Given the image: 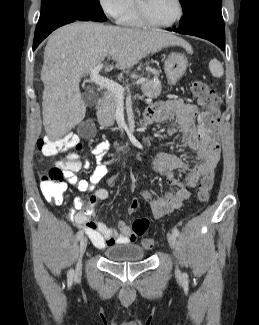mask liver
<instances>
[{
  "label": "liver",
  "mask_w": 259,
  "mask_h": 325,
  "mask_svg": "<svg viewBox=\"0 0 259 325\" xmlns=\"http://www.w3.org/2000/svg\"><path fill=\"white\" fill-rule=\"evenodd\" d=\"M167 46L189 49L185 40L161 30L144 31L90 21L57 29L48 38L41 70L43 125L49 138L59 140L84 119L86 105L79 83L106 57L116 62V68L125 69ZM113 68L107 65L105 71Z\"/></svg>",
  "instance_id": "6515ba94"
}]
</instances>
